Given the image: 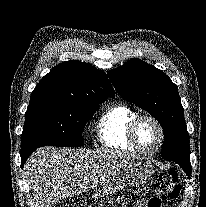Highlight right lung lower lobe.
Segmentation results:
<instances>
[{"label":"right lung lower lobe","instance_id":"1","mask_svg":"<svg viewBox=\"0 0 206 207\" xmlns=\"http://www.w3.org/2000/svg\"><path fill=\"white\" fill-rule=\"evenodd\" d=\"M31 153L26 152V153H21V168H23L24 163L26 162L27 158L29 157Z\"/></svg>","mask_w":206,"mask_h":207}]
</instances>
